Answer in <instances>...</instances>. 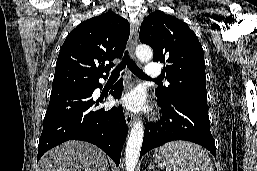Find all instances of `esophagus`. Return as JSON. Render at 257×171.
Instances as JSON below:
<instances>
[{"instance_id":"1","label":"esophagus","mask_w":257,"mask_h":171,"mask_svg":"<svg viewBox=\"0 0 257 171\" xmlns=\"http://www.w3.org/2000/svg\"><path fill=\"white\" fill-rule=\"evenodd\" d=\"M130 55L131 58L134 60L135 59V48L137 45V41H138V30H139V21L138 19H133L131 20L130 23ZM125 119H126V123L128 125V127H131L133 122H134V115L128 111L125 112Z\"/></svg>"}]
</instances>
